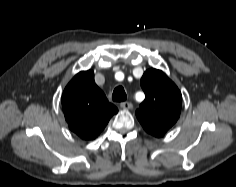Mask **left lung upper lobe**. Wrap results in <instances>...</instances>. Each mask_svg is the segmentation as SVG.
<instances>
[{
  "instance_id": "left-lung-upper-lobe-1",
  "label": "left lung upper lobe",
  "mask_w": 236,
  "mask_h": 187,
  "mask_svg": "<svg viewBox=\"0 0 236 187\" xmlns=\"http://www.w3.org/2000/svg\"><path fill=\"white\" fill-rule=\"evenodd\" d=\"M145 100L136 110V116L144 130L162 137L180 116L182 95L165 73L157 69L147 70L141 78Z\"/></svg>"
}]
</instances>
